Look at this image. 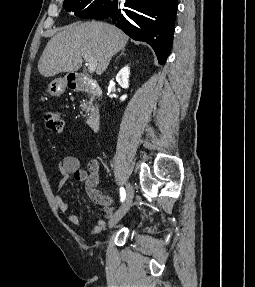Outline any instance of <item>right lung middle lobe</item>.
Listing matches in <instances>:
<instances>
[{"instance_id":"dd1d6c3e","label":"right lung middle lobe","mask_w":255,"mask_h":287,"mask_svg":"<svg viewBox=\"0 0 255 287\" xmlns=\"http://www.w3.org/2000/svg\"><path fill=\"white\" fill-rule=\"evenodd\" d=\"M118 0H64L63 7L81 18L104 19L117 9Z\"/></svg>"}]
</instances>
